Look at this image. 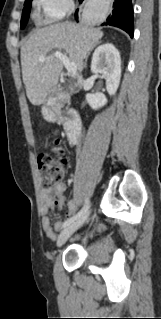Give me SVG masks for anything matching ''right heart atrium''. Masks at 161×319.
Returning a JSON list of instances; mask_svg holds the SVG:
<instances>
[{"mask_svg": "<svg viewBox=\"0 0 161 319\" xmlns=\"http://www.w3.org/2000/svg\"><path fill=\"white\" fill-rule=\"evenodd\" d=\"M50 23L61 20L74 6L73 0H35Z\"/></svg>", "mask_w": 161, "mask_h": 319, "instance_id": "right-heart-atrium-1", "label": "right heart atrium"}]
</instances>
